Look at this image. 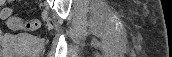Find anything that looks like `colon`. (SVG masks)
<instances>
[{"mask_svg": "<svg viewBox=\"0 0 172 57\" xmlns=\"http://www.w3.org/2000/svg\"><path fill=\"white\" fill-rule=\"evenodd\" d=\"M0 16L2 19L6 20L7 25L11 29H28L37 30L42 26L40 20H32L28 22H22L18 17L13 15V11L10 8H2L0 11Z\"/></svg>", "mask_w": 172, "mask_h": 57, "instance_id": "obj_1", "label": "colon"}]
</instances>
